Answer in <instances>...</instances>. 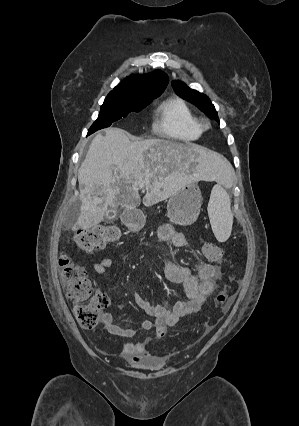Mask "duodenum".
<instances>
[{"instance_id": "obj_1", "label": "duodenum", "mask_w": 299, "mask_h": 426, "mask_svg": "<svg viewBox=\"0 0 299 426\" xmlns=\"http://www.w3.org/2000/svg\"><path fill=\"white\" fill-rule=\"evenodd\" d=\"M134 220H135V216H134V214H133V213H128V214L125 216V223H126V224H132V223L134 222Z\"/></svg>"}]
</instances>
